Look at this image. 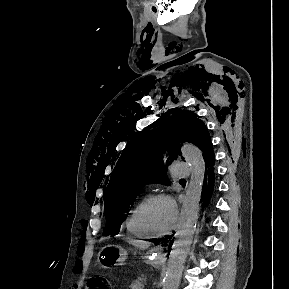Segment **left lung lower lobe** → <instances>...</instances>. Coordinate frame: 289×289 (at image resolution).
<instances>
[{
  "label": "left lung lower lobe",
  "mask_w": 289,
  "mask_h": 289,
  "mask_svg": "<svg viewBox=\"0 0 289 289\" xmlns=\"http://www.w3.org/2000/svg\"><path fill=\"white\" fill-rule=\"evenodd\" d=\"M205 162V175L203 181V189L201 200L203 202V208L207 206L211 199L215 187V156L213 150H211L204 159ZM171 245V244H170Z\"/></svg>",
  "instance_id": "obj_1"
}]
</instances>
